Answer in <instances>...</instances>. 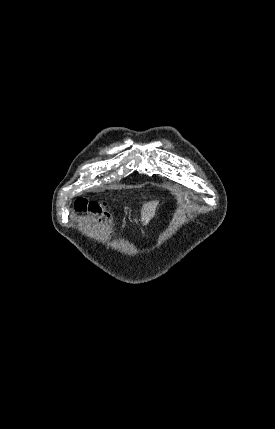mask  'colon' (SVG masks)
<instances>
[{
  "label": "colon",
  "instance_id": "obj_1",
  "mask_svg": "<svg viewBox=\"0 0 275 429\" xmlns=\"http://www.w3.org/2000/svg\"><path fill=\"white\" fill-rule=\"evenodd\" d=\"M75 209L78 212H89L94 215H99L100 218L108 225L111 226V217L109 211L106 210L105 205L99 201H77Z\"/></svg>",
  "mask_w": 275,
  "mask_h": 429
}]
</instances>
